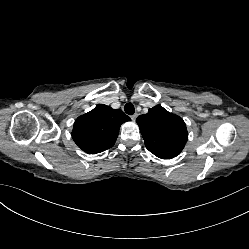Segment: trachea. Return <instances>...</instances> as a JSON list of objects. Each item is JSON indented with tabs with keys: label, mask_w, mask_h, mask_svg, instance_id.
Wrapping results in <instances>:
<instances>
[{
	"label": "trachea",
	"mask_w": 249,
	"mask_h": 249,
	"mask_svg": "<svg viewBox=\"0 0 249 249\" xmlns=\"http://www.w3.org/2000/svg\"><path fill=\"white\" fill-rule=\"evenodd\" d=\"M124 110L125 112L128 114V115H133L134 112H135V108H134V105L132 103H127L125 106H124Z\"/></svg>",
	"instance_id": "1"
}]
</instances>
